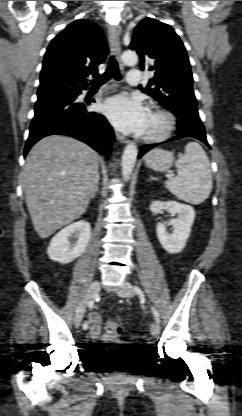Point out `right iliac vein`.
Returning <instances> with one entry per match:
<instances>
[{
	"mask_svg": "<svg viewBox=\"0 0 242 416\" xmlns=\"http://www.w3.org/2000/svg\"><path fill=\"white\" fill-rule=\"evenodd\" d=\"M100 290V283L98 281H94L89 286V289L87 291V294L85 295L83 301L80 303L76 314H75V326L78 327L83 319L85 308L88 304V302L94 298Z\"/></svg>",
	"mask_w": 242,
	"mask_h": 416,
	"instance_id": "1",
	"label": "right iliac vein"
}]
</instances>
